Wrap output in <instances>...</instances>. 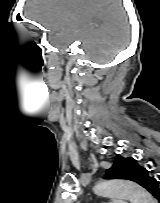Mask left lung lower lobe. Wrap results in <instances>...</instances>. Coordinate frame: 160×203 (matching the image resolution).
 Masks as SVG:
<instances>
[{
	"instance_id": "0a47b994",
	"label": "left lung lower lobe",
	"mask_w": 160,
	"mask_h": 203,
	"mask_svg": "<svg viewBox=\"0 0 160 203\" xmlns=\"http://www.w3.org/2000/svg\"><path fill=\"white\" fill-rule=\"evenodd\" d=\"M148 191L153 195L154 198L160 202V178L154 179L148 188Z\"/></svg>"
}]
</instances>
